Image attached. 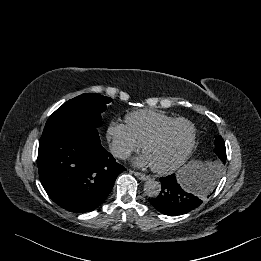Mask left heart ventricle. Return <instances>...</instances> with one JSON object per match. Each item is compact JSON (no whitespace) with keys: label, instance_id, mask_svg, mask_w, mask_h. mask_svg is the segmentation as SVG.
Listing matches in <instances>:
<instances>
[{"label":"left heart ventricle","instance_id":"1","mask_svg":"<svg viewBox=\"0 0 261 261\" xmlns=\"http://www.w3.org/2000/svg\"><path fill=\"white\" fill-rule=\"evenodd\" d=\"M191 127L183 122L169 127L155 142L148 145L145 154L151 165L165 167L175 163L185 153L191 140Z\"/></svg>","mask_w":261,"mask_h":261}]
</instances>
